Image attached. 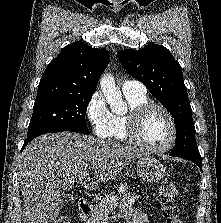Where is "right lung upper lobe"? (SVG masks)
<instances>
[{
  "instance_id": "cb5924a9",
  "label": "right lung upper lobe",
  "mask_w": 221,
  "mask_h": 223,
  "mask_svg": "<svg viewBox=\"0 0 221 223\" xmlns=\"http://www.w3.org/2000/svg\"><path fill=\"white\" fill-rule=\"evenodd\" d=\"M110 53L83 42L62 49L47 66L38 86L36 100L49 97L92 95L107 67Z\"/></svg>"
}]
</instances>
